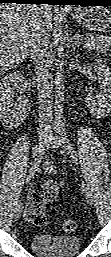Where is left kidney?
I'll return each instance as SVG.
<instances>
[{
    "instance_id": "obj_1",
    "label": "left kidney",
    "mask_w": 111,
    "mask_h": 257,
    "mask_svg": "<svg viewBox=\"0 0 111 257\" xmlns=\"http://www.w3.org/2000/svg\"><path fill=\"white\" fill-rule=\"evenodd\" d=\"M94 69L99 76V83L103 92L96 96H91L88 100V106L96 111L97 114L111 109V73L105 60L97 59ZM105 108V109H104Z\"/></svg>"
}]
</instances>
